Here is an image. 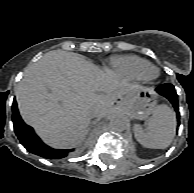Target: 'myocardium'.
<instances>
[{"label": "myocardium", "instance_id": "myocardium-1", "mask_svg": "<svg viewBox=\"0 0 194 193\" xmlns=\"http://www.w3.org/2000/svg\"><path fill=\"white\" fill-rule=\"evenodd\" d=\"M152 71L154 72L153 74H151ZM159 74V69L156 66L150 64L142 71V80L146 82H153L159 77Z\"/></svg>", "mask_w": 194, "mask_h": 193}]
</instances>
